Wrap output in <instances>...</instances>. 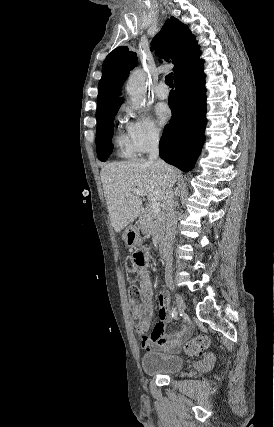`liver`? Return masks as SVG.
<instances>
[{
    "label": "liver",
    "instance_id": "liver-1",
    "mask_svg": "<svg viewBox=\"0 0 274 427\" xmlns=\"http://www.w3.org/2000/svg\"><path fill=\"white\" fill-rule=\"evenodd\" d=\"M162 160H128L113 162L101 168L103 192L115 231H121L140 215L141 196H134L133 190H145L150 202L164 200L167 182H176L179 174L176 168ZM129 192L130 196H127Z\"/></svg>",
    "mask_w": 274,
    "mask_h": 427
}]
</instances>
